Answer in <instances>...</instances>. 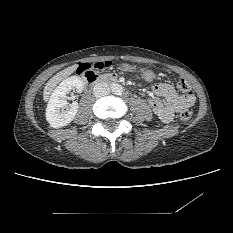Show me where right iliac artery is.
I'll return each mask as SVG.
<instances>
[{
	"label": "right iliac artery",
	"mask_w": 233,
	"mask_h": 233,
	"mask_svg": "<svg viewBox=\"0 0 233 233\" xmlns=\"http://www.w3.org/2000/svg\"><path fill=\"white\" fill-rule=\"evenodd\" d=\"M111 88H112V90H116V87H115V86H112Z\"/></svg>",
	"instance_id": "obj_1"
}]
</instances>
